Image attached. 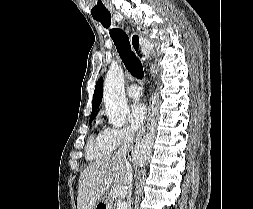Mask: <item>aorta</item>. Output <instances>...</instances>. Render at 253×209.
I'll use <instances>...</instances> for the list:
<instances>
[{
    "mask_svg": "<svg viewBox=\"0 0 253 209\" xmlns=\"http://www.w3.org/2000/svg\"><path fill=\"white\" fill-rule=\"evenodd\" d=\"M104 102L109 123L115 127L124 125L129 107L124 91V73L121 66L112 64L104 81Z\"/></svg>",
    "mask_w": 253,
    "mask_h": 209,
    "instance_id": "762f6f07",
    "label": "aorta"
}]
</instances>
